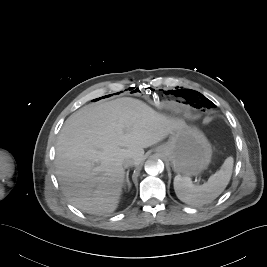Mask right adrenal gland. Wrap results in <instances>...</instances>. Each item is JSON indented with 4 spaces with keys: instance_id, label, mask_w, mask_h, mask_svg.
Masks as SVG:
<instances>
[{
    "instance_id": "right-adrenal-gland-1",
    "label": "right adrenal gland",
    "mask_w": 267,
    "mask_h": 267,
    "mask_svg": "<svg viewBox=\"0 0 267 267\" xmlns=\"http://www.w3.org/2000/svg\"><path fill=\"white\" fill-rule=\"evenodd\" d=\"M126 185L128 187V191H129L131 188V183L129 181V171L126 172V179H125L124 184H123L124 188H126Z\"/></svg>"
}]
</instances>
